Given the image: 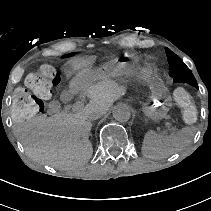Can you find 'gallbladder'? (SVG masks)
<instances>
[{"label": "gallbladder", "mask_w": 211, "mask_h": 211, "mask_svg": "<svg viewBox=\"0 0 211 211\" xmlns=\"http://www.w3.org/2000/svg\"><path fill=\"white\" fill-rule=\"evenodd\" d=\"M75 95L74 92L70 89H63L60 92V96H59V101L64 103V104H68L70 103L73 99H74Z\"/></svg>", "instance_id": "gallbladder-1"}]
</instances>
